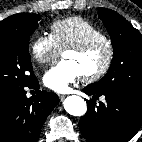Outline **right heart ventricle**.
<instances>
[{
	"mask_svg": "<svg viewBox=\"0 0 142 142\" xmlns=\"http://www.w3.org/2000/svg\"><path fill=\"white\" fill-rule=\"evenodd\" d=\"M51 37L60 50L92 38L107 39L105 33L89 20L71 16L57 20L50 26Z\"/></svg>",
	"mask_w": 142,
	"mask_h": 142,
	"instance_id": "right-heart-ventricle-1",
	"label": "right heart ventricle"
}]
</instances>
